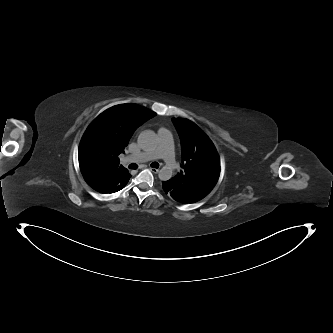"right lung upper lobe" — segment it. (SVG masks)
Here are the masks:
<instances>
[{"instance_id": "right-lung-upper-lobe-1", "label": "right lung upper lobe", "mask_w": 333, "mask_h": 333, "mask_svg": "<svg viewBox=\"0 0 333 333\" xmlns=\"http://www.w3.org/2000/svg\"><path fill=\"white\" fill-rule=\"evenodd\" d=\"M155 115V112L136 104H120L105 110L92 122L99 126L101 132L102 144L97 160L92 164L95 178L101 184L115 186L129 176L128 170L120 165L118 156L124 153L134 131Z\"/></svg>"}]
</instances>
